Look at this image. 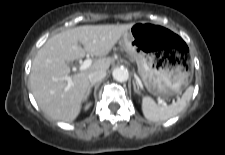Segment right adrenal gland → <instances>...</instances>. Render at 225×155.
Returning a JSON list of instances; mask_svg holds the SVG:
<instances>
[{
	"label": "right adrenal gland",
	"instance_id": "2a0ac1e0",
	"mask_svg": "<svg viewBox=\"0 0 225 155\" xmlns=\"http://www.w3.org/2000/svg\"><path fill=\"white\" fill-rule=\"evenodd\" d=\"M94 86V84H91L87 90V94H86V99L89 96L90 92H91V88Z\"/></svg>",
	"mask_w": 225,
	"mask_h": 155
}]
</instances>
